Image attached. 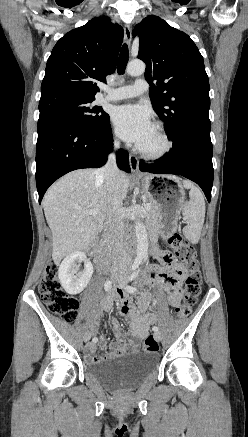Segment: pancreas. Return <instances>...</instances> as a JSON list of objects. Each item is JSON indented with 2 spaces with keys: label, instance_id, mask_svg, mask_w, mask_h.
Here are the masks:
<instances>
[{
  "label": "pancreas",
  "instance_id": "obj_1",
  "mask_svg": "<svg viewBox=\"0 0 248 437\" xmlns=\"http://www.w3.org/2000/svg\"><path fill=\"white\" fill-rule=\"evenodd\" d=\"M149 204L151 207L147 210L146 221L149 224L150 228H152L153 232L156 233L159 230L161 212L154 203L150 202Z\"/></svg>",
  "mask_w": 248,
  "mask_h": 437
}]
</instances>
